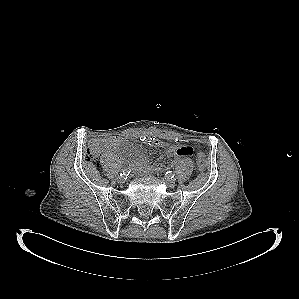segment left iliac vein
I'll return each instance as SVG.
<instances>
[{
  "label": "left iliac vein",
  "instance_id": "4c4485c4",
  "mask_svg": "<svg viewBox=\"0 0 299 299\" xmlns=\"http://www.w3.org/2000/svg\"><path fill=\"white\" fill-rule=\"evenodd\" d=\"M164 183H165L168 187H171V188L175 186V180H174V179L166 178V179H164Z\"/></svg>",
  "mask_w": 299,
  "mask_h": 299
}]
</instances>
